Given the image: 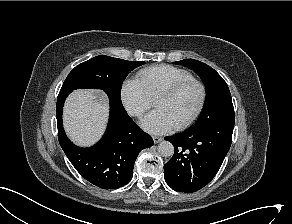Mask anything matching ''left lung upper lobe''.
Here are the masks:
<instances>
[{"instance_id": "left-lung-upper-lobe-1", "label": "left lung upper lobe", "mask_w": 292, "mask_h": 224, "mask_svg": "<svg viewBox=\"0 0 292 224\" xmlns=\"http://www.w3.org/2000/svg\"><path fill=\"white\" fill-rule=\"evenodd\" d=\"M194 70L206 88V101L197 122L190 128L198 130L210 123L226 118H234V108L229 88L224 79L210 66L194 59L175 62Z\"/></svg>"}]
</instances>
